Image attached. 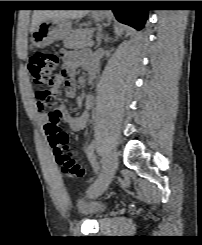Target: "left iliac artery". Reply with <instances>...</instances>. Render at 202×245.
<instances>
[{
    "mask_svg": "<svg viewBox=\"0 0 202 245\" xmlns=\"http://www.w3.org/2000/svg\"><path fill=\"white\" fill-rule=\"evenodd\" d=\"M96 145H97L96 140H93L88 148L87 155L92 163L95 172L98 173L99 166L94 156V150L96 148ZM96 187H97V180L91 185V187L89 188V192L92 193L96 189Z\"/></svg>",
    "mask_w": 202,
    "mask_h": 245,
    "instance_id": "1",
    "label": "left iliac artery"
}]
</instances>
